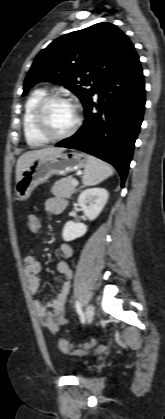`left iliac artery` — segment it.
Masks as SVG:
<instances>
[{"mask_svg": "<svg viewBox=\"0 0 165 419\" xmlns=\"http://www.w3.org/2000/svg\"><path fill=\"white\" fill-rule=\"evenodd\" d=\"M75 307H76L77 313L80 317L81 323H84L85 322V316H84V313L82 311L81 305L78 301H76Z\"/></svg>", "mask_w": 165, "mask_h": 419, "instance_id": "1", "label": "left iliac artery"}]
</instances>
